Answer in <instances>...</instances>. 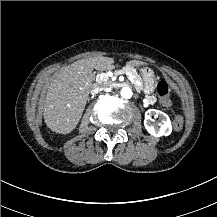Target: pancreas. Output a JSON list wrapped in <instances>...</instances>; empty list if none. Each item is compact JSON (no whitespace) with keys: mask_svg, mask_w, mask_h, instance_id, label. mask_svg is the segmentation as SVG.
Returning <instances> with one entry per match:
<instances>
[{"mask_svg":"<svg viewBox=\"0 0 217 217\" xmlns=\"http://www.w3.org/2000/svg\"><path fill=\"white\" fill-rule=\"evenodd\" d=\"M128 67V66H127ZM131 67V66H130ZM125 68V67H124ZM121 69V68H120ZM119 70V69H118ZM117 70V71H118ZM132 77L134 78V80H138V81H141V78L140 76H138L136 73H131ZM142 85H135L136 88H140Z\"/></svg>","mask_w":217,"mask_h":217,"instance_id":"cf45deb5","label":"pancreas"}]
</instances>
